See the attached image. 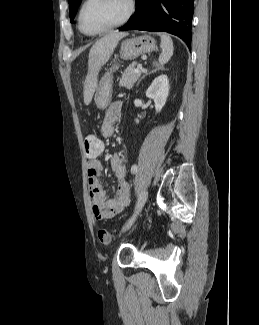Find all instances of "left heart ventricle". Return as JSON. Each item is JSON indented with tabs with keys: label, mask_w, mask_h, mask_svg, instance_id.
Instances as JSON below:
<instances>
[{
	"label": "left heart ventricle",
	"mask_w": 259,
	"mask_h": 325,
	"mask_svg": "<svg viewBox=\"0 0 259 325\" xmlns=\"http://www.w3.org/2000/svg\"><path fill=\"white\" fill-rule=\"evenodd\" d=\"M127 9V0H91L83 11V26L88 32L103 30L120 21Z\"/></svg>",
	"instance_id": "left-heart-ventricle-1"
}]
</instances>
